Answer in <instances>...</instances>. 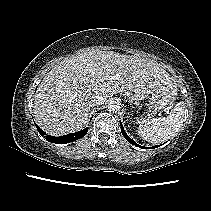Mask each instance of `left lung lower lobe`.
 <instances>
[{
  "instance_id": "1",
  "label": "left lung lower lobe",
  "mask_w": 211,
  "mask_h": 211,
  "mask_svg": "<svg viewBox=\"0 0 211 211\" xmlns=\"http://www.w3.org/2000/svg\"><path fill=\"white\" fill-rule=\"evenodd\" d=\"M121 132H122L123 136L126 138V140H127L128 142H130L131 144H133V145H135V146H137V147H140V148H144V149H147V148H148V147H143V146L138 145L133 139H131V138L126 134V132H125V130H124V128H123L122 123H121ZM152 148H156V146H154V147H152Z\"/></svg>"
}]
</instances>
